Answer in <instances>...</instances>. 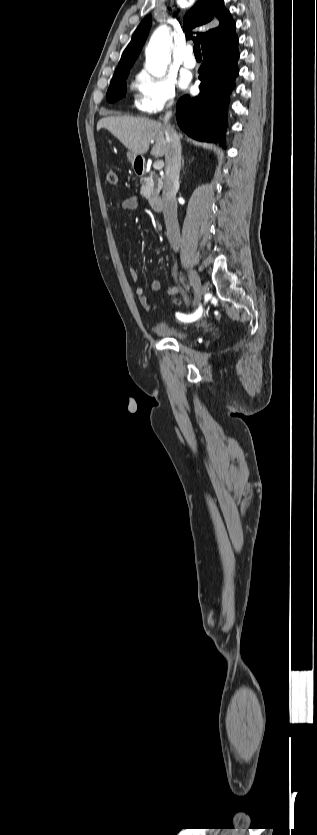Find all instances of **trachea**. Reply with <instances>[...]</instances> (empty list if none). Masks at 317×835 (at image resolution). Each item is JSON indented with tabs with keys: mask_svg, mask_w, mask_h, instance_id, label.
Returning <instances> with one entry per match:
<instances>
[{
	"mask_svg": "<svg viewBox=\"0 0 317 835\" xmlns=\"http://www.w3.org/2000/svg\"><path fill=\"white\" fill-rule=\"evenodd\" d=\"M193 51H194L195 56H201V55H202V54H201V50H200V45H199V43H196V44L194 45V47H193Z\"/></svg>",
	"mask_w": 317,
	"mask_h": 835,
	"instance_id": "1",
	"label": "trachea"
}]
</instances>
